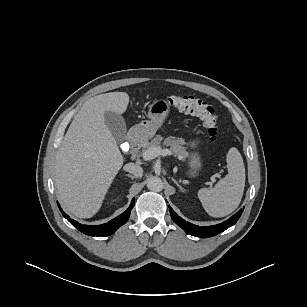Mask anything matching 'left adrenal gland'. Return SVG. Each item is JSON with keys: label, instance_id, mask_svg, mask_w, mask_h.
Here are the masks:
<instances>
[{"label": "left adrenal gland", "instance_id": "1", "mask_svg": "<svg viewBox=\"0 0 307 307\" xmlns=\"http://www.w3.org/2000/svg\"><path fill=\"white\" fill-rule=\"evenodd\" d=\"M172 181L176 184V186L182 191V192H186V190L178 183V181L176 179H174L172 177Z\"/></svg>", "mask_w": 307, "mask_h": 307}]
</instances>
